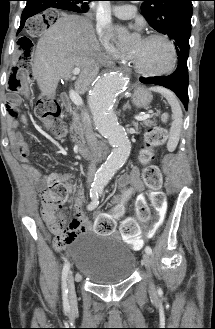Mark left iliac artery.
I'll list each match as a JSON object with an SVG mask.
<instances>
[{"label": "left iliac artery", "instance_id": "44dca946", "mask_svg": "<svg viewBox=\"0 0 215 329\" xmlns=\"http://www.w3.org/2000/svg\"><path fill=\"white\" fill-rule=\"evenodd\" d=\"M98 193H99L100 196L103 195V189H102V188L99 189V190H98ZM145 251H146V253H148V254H152V249H151L150 246H146Z\"/></svg>", "mask_w": 215, "mask_h": 329}]
</instances>
